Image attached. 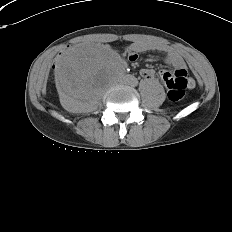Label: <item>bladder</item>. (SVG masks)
Returning a JSON list of instances; mask_svg holds the SVG:
<instances>
[{"label": "bladder", "mask_w": 232, "mask_h": 232, "mask_svg": "<svg viewBox=\"0 0 232 232\" xmlns=\"http://www.w3.org/2000/svg\"><path fill=\"white\" fill-rule=\"evenodd\" d=\"M73 49H74V50H78V49H79V47H74Z\"/></svg>", "instance_id": "bladder-1"}]
</instances>
